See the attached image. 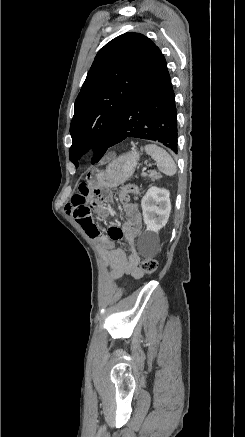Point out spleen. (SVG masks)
<instances>
[{"instance_id": "1", "label": "spleen", "mask_w": 245, "mask_h": 437, "mask_svg": "<svg viewBox=\"0 0 245 437\" xmlns=\"http://www.w3.org/2000/svg\"><path fill=\"white\" fill-rule=\"evenodd\" d=\"M144 149L156 161L157 167L162 173L168 176H173L176 173L177 166L166 150L155 144H147Z\"/></svg>"}]
</instances>
